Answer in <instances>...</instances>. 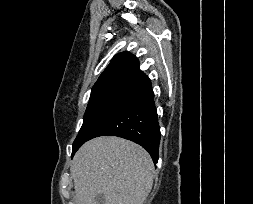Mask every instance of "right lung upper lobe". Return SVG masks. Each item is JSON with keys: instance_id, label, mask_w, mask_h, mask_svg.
<instances>
[{"instance_id": "obj_1", "label": "right lung upper lobe", "mask_w": 253, "mask_h": 204, "mask_svg": "<svg viewBox=\"0 0 253 204\" xmlns=\"http://www.w3.org/2000/svg\"><path fill=\"white\" fill-rule=\"evenodd\" d=\"M146 77L139 68L138 59L129 52H122L112 59L98 78L93 89L124 81L140 83Z\"/></svg>"}]
</instances>
